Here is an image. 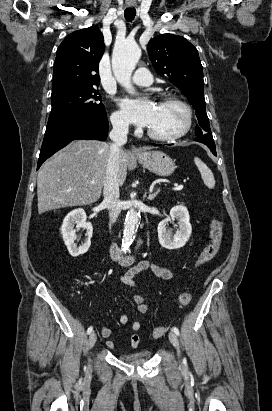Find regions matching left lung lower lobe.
Listing matches in <instances>:
<instances>
[{"label":"left lung lower lobe","instance_id":"0a47b994","mask_svg":"<svg viewBox=\"0 0 272 411\" xmlns=\"http://www.w3.org/2000/svg\"><path fill=\"white\" fill-rule=\"evenodd\" d=\"M195 141H198V142H200V143H203V144L207 145V146L210 148L211 152H212L215 156L217 155V154H216L215 143H214V140H213L212 133H207V134H204V135H202V136H197V138L195 139ZM155 146H157V145H155ZM159 146H160V145H159Z\"/></svg>","mask_w":272,"mask_h":411}]
</instances>
